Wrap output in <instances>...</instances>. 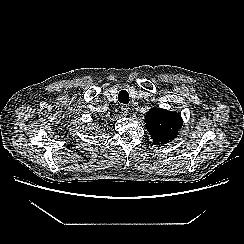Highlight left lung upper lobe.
<instances>
[{"label":"left lung upper lobe","mask_w":244,"mask_h":244,"mask_svg":"<svg viewBox=\"0 0 244 244\" xmlns=\"http://www.w3.org/2000/svg\"><path fill=\"white\" fill-rule=\"evenodd\" d=\"M145 122L147 131L157 145L173 140L183 125L178 113L156 107L147 112Z\"/></svg>","instance_id":"5c2ea615"}]
</instances>
